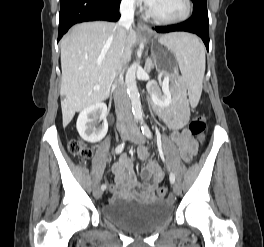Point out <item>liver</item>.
<instances>
[{
  "mask_svg": "<svg viewBox=\"0 0 264 247\" xmlns=\"http://www.w3.org/2000/svg\"><path fill=\"white\" fill-rule=\"evenodd\" d=\"M136 39L133 29L125 31L119 24L104 21L77 24L62 38L60 95L65 96L61 101L64 127L76 112L109 97L121 61V47L124 66Z\"/></svg>",
  "mask_w": 264,
  "mask_h": 247,
  "instance_id": "6515ba94",
  "label": "liver"
}]
</instances>
